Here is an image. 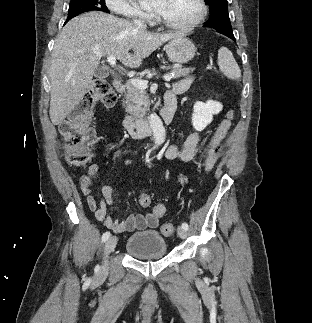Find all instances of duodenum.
Returning <instances> with one entry per match:
<instances>
[{"label":"duodenum","mask_w":312,"mask_h":323,"mask_svg":"<svg viewBox=\"0 0 312 323\" xmlns=\"http://www.w3.org/2000/svg\"><path fill=\"white\" fill-rule=\"evenodd\" d=\"M114 88L123 93L126 88L124 78H116L113 82ZM177 111V94L174 91H169L165 94L164 104L160 110V117L165 124L173 122ZM124 129L134 138H143L152 131L151 123L146 118H137L132 115H127L123 119Z\"/></svg>","instance_id":"410a0bca"}]
</instances>
